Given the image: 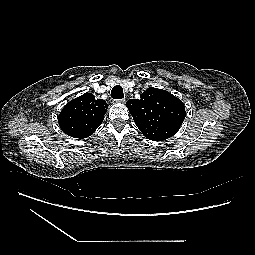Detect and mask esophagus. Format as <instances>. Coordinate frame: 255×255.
<instances>
[{
  "mask_svg": "<svg viewBox=\"0 0 255 255\" xmlns=\"http://www.w3.org/2000/svg\"><path fill=\"white\" fill-rule=\"evenodd\" d=\"M116 102L125 103V99H119V100H116Z\"/></svg>",
  "mask_w": 255,
  "mask_h": 255,
  "instance_id": "1",
  "label": "esophagus"
}]
</instances>
